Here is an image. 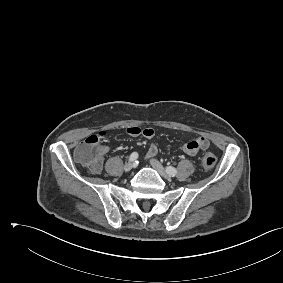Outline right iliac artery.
<instances>
[{
    "label": "right iliac artery",
    "instance_id": "82829eb1",
    "mask_svg": "<svg viewBox=\"0 0 283 283\" xmlns=\"http://www.w3.org/2000/svg\"><path fill=\"white\" fill-rule=\"evenodd\" d=\"M137 158H138V153L133 152L129 157V161L134 162V161H136Z\"/></svg>",
    "mask_w": 283,
    "mask_h": 283
}]
</instances>
